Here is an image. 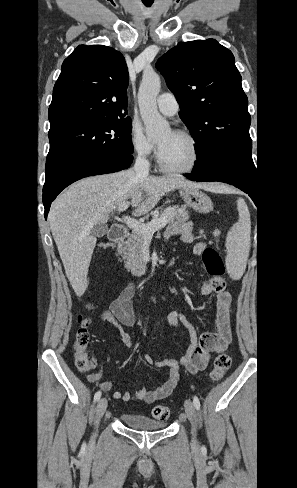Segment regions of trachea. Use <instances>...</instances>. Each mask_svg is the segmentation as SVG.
Instances as JSON below:
<instances>
[{
  "label": "trachea",
  "mask_w": 297,
  "mask_h": 488,
  "mask_svg": "<svg viewBox=\"0 0 297 488\" xmlns=\"http://www.w3.org/2000/svg\"><path fill=\"white\" fill-rule=\"evenodd\" d=\"M143 3L145 4V6L149 7L152 5L153 2H150L149 0H143Z\"/></svg>",
  "instance_id": "obj_1"
}]
</instances>
